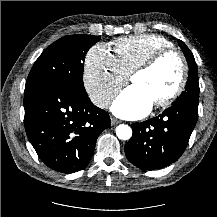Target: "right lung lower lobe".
I'll list each match as a JSON object with an SVG mask.
<instances>
[{
	"label": "right lung lower lobe",
	"mask_w": 217,
	"mask_h": 217,
	"mask_svg": "<svg viewBox=\"0 0 217 217\" xmlns=\"http://www.w3.org/2000/svg\"><path fill=\"white\" fill-rule=\"evenodd\" d=\"M25 130L39 158L51 169L74 173L90 160L108 113L86 92L54 83L24 93Z\"/></svg>",
	"instance_id": "98d812e1"
}]
</instances>
